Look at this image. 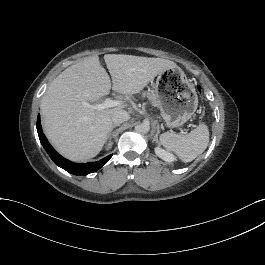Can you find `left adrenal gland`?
<instances>
[{
    "label": "left adrenal gland",
    "mask_w": 265,
    "mask_h": 265,
    "mask_svg": "<svg viewBox=\"0 0 265 265\" xmlns=\"http://www.w3.org/2000/svg\"><path fill=\"white\" fill-rule=\"evenodd\" d=\"M159 132H160V127L157 126V133H156V135H155V137H154V139H153V143L155 142L156 144H159V142H158V140H157V136H158Z\"/></svg>",
    "instance_id": "1"
}]
</instances>
